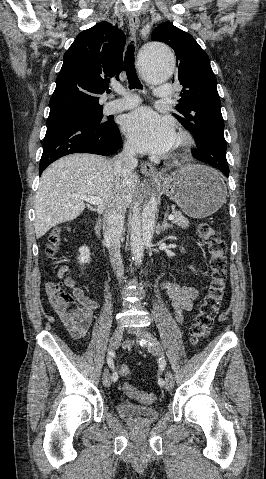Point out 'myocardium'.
Here are the masks:
<instances>
[{"mask_svg": "<svg viewBox=\"0 0 266 479\" xmlns=\"http://www.w3.org/2000/svg\"><path fill=\"white\" fill-rule=\"evenodd\" d=\"M194 141L192 136L186 131H180L176 135V141L173 147V156H179L188 152Z\"/></svg>", "mask_w": 266, "mask_h": 479, "instance_id": "f54148a6", "label": "myocardium"}]
</instances>
